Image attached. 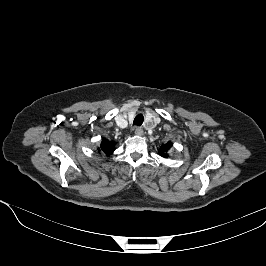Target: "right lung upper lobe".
Listing matches in <instances>:
<instances>
[{"instance_id":"cb5924a9","label":"right lung upper lobe","mask_w":266,"mask_h":266,"mask_svg":"<svg viewBox=\"0 0 266 266\" xmlns=\"http://www.w3.org/2000/svg\"><path fill=\"white\" fill-rule=\"evenodd\" d=\"M115 142L109 141L107 139L102 140L100 148H98L99 151L102 153H105L106 155H110L114 151Z\"/></svg>"}]
</instances>
